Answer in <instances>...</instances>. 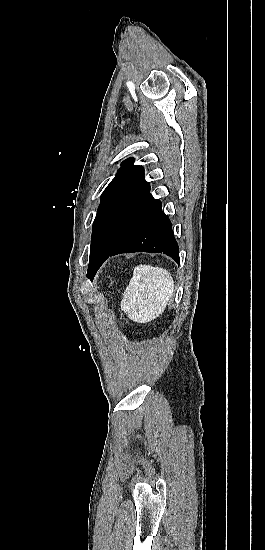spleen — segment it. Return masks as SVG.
<instances>
[{"mask_svg": "<svg viewBox=\"0 0 265 550\" xmlns=\"http://www.w3.org/2000/svg\"><path fill=\"white\" fill-rule=\"evenodd\" d=\"M173 292L174 281L166 269L139 265L134 268L120 306L132 321L148 323L164 312Z\"/></svg>", "mask_w": 265, "mask_h": 550, "instance_id": "obj_1", "label": "spleen"}]
</instances>
